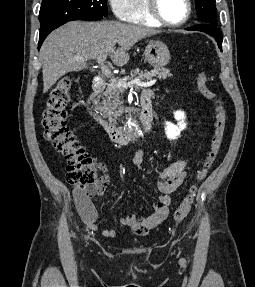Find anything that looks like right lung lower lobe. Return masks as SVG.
<instances>
[{
	"label": "right lung lower lobe",
	"mask_w": 255,
	"mask_h": 287,
	"mask_svg": "<svg viewBox=\"0 0 255 287\" xmlns=\"http://www.w3.org/2000/svg\"><path fill=\"white\" fill-rule=\"evenodd\" d=\"M59 26H61V25H57V26H53V27H49V28H45V29L40 30L38 48H40V46L42 45L43 41L48 36V34Z\"/></svg>",
	"instance_id": "right-lung-lower-lobe-1"
}]
</instances>
